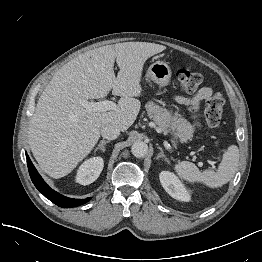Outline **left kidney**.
Returning a JSON list of instances; mask_svg holds the SVG:
<instances>
[{"label": "left kidney", "mask_w": 262, "mask_h": 262, "mask_svg": "<svg viewBox=\"0 0 262 262\" xmlns=\"http://www.w3.org/2000/svg\"><path fill=\"white\" fill-rule=\"evenodd\" d=\"M159 178L163 188L171 197L180 201L190 200V194L173 173L162 171Z\"/></svg>", "instance_id": "1"}]
</instances>
